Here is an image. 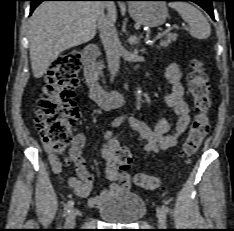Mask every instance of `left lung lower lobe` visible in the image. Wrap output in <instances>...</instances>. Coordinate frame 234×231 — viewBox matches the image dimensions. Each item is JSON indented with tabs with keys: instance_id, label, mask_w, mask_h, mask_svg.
I'll use <instances>...</instances> for the list:
<instances>
[{
	"instance_id": "1",
	"label": "left lung lower lobe",
	"mask_w": 234,
	"mask_h": 231,
	"mask_svg": "<svg viewBox=\"0 0 234 231\" xmlns=\"http://www.w3.org/2000/svg\"><path fill=\"white\" fill-rule=\"evenodd\" d=\"M164 1H192L201 6L204 10H206L209 15L212 17L214 20V15H213V8H212V1L216 0H164Z\"/></svg>"
}]
</instances>
